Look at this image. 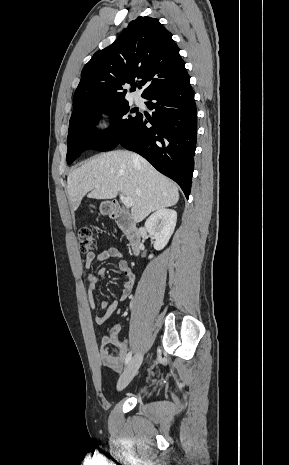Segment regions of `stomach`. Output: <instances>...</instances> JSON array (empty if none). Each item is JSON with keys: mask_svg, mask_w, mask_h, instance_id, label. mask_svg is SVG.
I'll return each instance as SVG.
<instances>
[{"mask_svg": "<svg viewBox=\"0 0 289 465\" xmlns=\"http://www.w3.org/2000/svg\"><path fill=\"white\" fill-rule=\"evenodd\" d=\"M106 205H107L106 202L101 203V205H100V210H101V212H103V213H107V212H108V209L106 208Z\"/></svg>", "mask_w": 289, "mask_h": 465, "instance_id": "1", "label": "stomach"}]
</instances>
